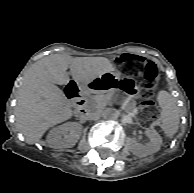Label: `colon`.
Wrapping results in <instances>:
<instances>
[{"instance_id":"colon-1","label":"colon","mask_w":194,"mask_h":193,"mask_svg":"<svg viewBox=\"0 0 194 193\" xmlns=\"http://www.w3.org/2000/svg\"><path fill=\"white\" fill-rule=\"evenodd\" d=\"M120 63L125 73L141 74L147 87L151 88L155 85L158 78V70L154 63L133 55L121 57ZM154 105L151 93L146 94L142 100V120L146 124L155 123L158 120V111Z\"/></svg>"}]
</instances>
